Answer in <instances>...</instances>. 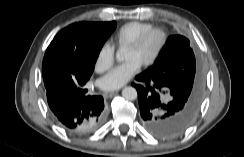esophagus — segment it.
Segmentation results:
<instances>
[{
  "instance_id": "obj_1",
  "label": "esophagus",
  "mask_w": 244,
  "mask_h": 157,
  "mask_svg": "<svg viewBox=\"0 0 244 157\" xmlns=\"http://www.w3.org/2000/svg\"><path fill=\"white\" fill-rule=\"evenodd\" d=\"M117 92H118V90L107 92V93H106V96L109 97V98H111V97L114 96Z\"/></svg>"
}]
</instances>
